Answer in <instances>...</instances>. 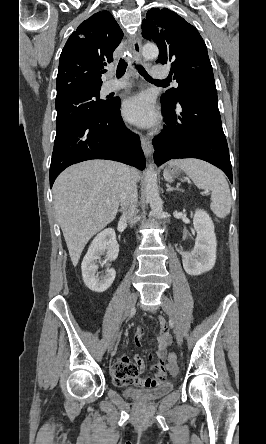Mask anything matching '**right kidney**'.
I'll use <instances>...</instances> for the list:
<instances>
[{"instance_id":"right-kidney-1","label":"right kidney","mask_w":266,"mask_h":444,"mask_svg":"<svg viewBox=\"0 0 266 444\" xmlns=\"http://www.w3.org/2000/svg\"><path fill=\"white\" fill-rule=\"evenodd\" d=\"M118 253L119 245L113 229H105L93 239L81 265L84 283L90 290L101 293L112 285L116 276L115 270L108 268L106 275L100 279L97 262L104 254H106V261H113Z\"/></svg>"}]
</instances>
